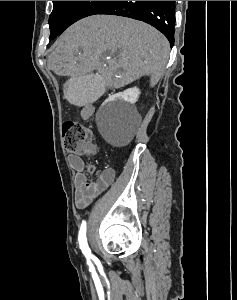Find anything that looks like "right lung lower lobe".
<instances>
[{
	"label": "right lung lower lobe",
	"instance_id": "98d812e1",
	"mask_svg": "<svg viewBox=\"0 0 237 300\" xmlns=\"http://www.w3.org/2000/svg\"><path fill=\"white\" fill-rule=\"evenodd\" d=\"M94 14L119 15L144 21L162 32L170 45H174L175 1H106Z\"/></svg>",
	"mask_w": 237,
	"mask_h": 300
}]
</instances>
